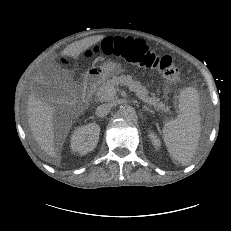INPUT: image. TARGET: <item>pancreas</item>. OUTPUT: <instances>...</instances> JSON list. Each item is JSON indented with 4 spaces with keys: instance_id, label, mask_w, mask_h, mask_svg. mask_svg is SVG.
<instances>
[{
    "instance_id": "pancreas-1",
    "label": "pancreas",
    "mask_w": 231,
    "mask_h": 231,
    "mask_svg": "<svg viewBox=\"0 0 231 231\" xmlns=\"http://www.w3.org/2000/svg\"><path fill=\"white\" fill-rule=\"evenodd\" d=\"M126 85L129 89L136 93L137 97L147 104L153 106L157 111L169 112L170 109L163 102L156 97H150L148 90L140 82L133 79L131 76H113L112 79L104 81L100 86L94 90L95 97L101 101H112L115 94H111L109 90L117 85Z\"/></svg>"
}]
</instances>
